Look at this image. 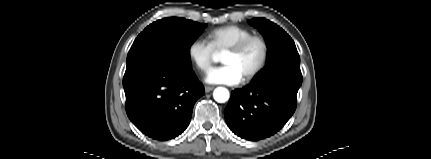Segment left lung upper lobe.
Wrapping results in <instances>:
<instances>
[{
	"instance_id": "1",
	"label": "left lung upper lobe",
	"mask_w": 431,
	"mask_h": 159,
	"mask_svg": "<svg viewBox=\"0 0 431 159\" xmlns=\"http://www.w3.org/2000/svg\"><path fill=\"white\" fill-rule=\"evenodd\" d=\"M248 22L264 36L268 47L266 66L252 82H259L278 73L302 75L295 43L282 28L265 18H254Z\"/></svg>"
}]
</instances>
